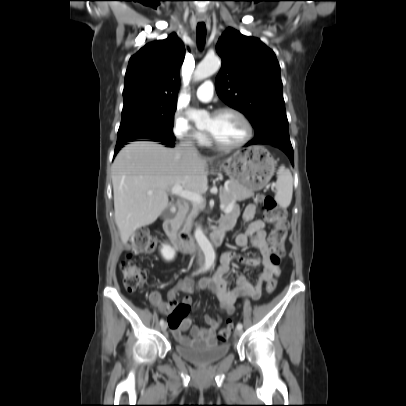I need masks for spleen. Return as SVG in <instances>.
I'll return each mask as SVG.
<instances>
[{
  "instance_id": "obj_1",
  "label": "spleen",
  "mask_w": 406,
  "mask_h": 406,
  "mask_svg": "<svg viewBox=\"0 0 406 406\" xmlns=\"http://www.w3.org/2000/svg\"><path fill=\"white\" fill-rule=\"evenodd\" d=\"M276 187V202L283 208H287L292 200L293 194V178L291 172L281 166L277 172Z\"/></svg>"
}]
</instances>
